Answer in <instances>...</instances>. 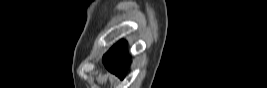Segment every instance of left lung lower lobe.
<instances>
[{
	"label": "left lung lower lobe",
	"mask_w": 267,
	"mask_h": 88,
	"mask_svg": "<svg viewBox=\"0 0 267 88\" xmlns=\"http://www.w3.org/2000/svg\"><path fill=\"white\" fill-rule=\"evenodd\" d=\"M125 46L126 43L121 41L114 45L103 57V62L109 71L121 79L125 77L129 64L127 54L123 52Z\"/></svg>",
	"instance_id": "left-lung-lower-lobe-1"
}]
</instances>
